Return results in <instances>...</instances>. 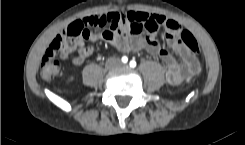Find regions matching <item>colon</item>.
<instances>
[{
    "mask_svg": "<svg viewBox=\"0 0 245 145\" xmlns=\"http://www.w3.org/2000/svg\"><path fill=\"white\" fill-rule=\"evenodd\" d=\"M95 17L100 18L102 15L88 17L83 21H81L82 19L72 21L65 27L62 34L51 42L41 62V76L43 79L50 80L59 75L61 71V60L70 56L74 51H78L80 42L85 40L90 30L98 25ZM164 22L167 29L179 32L182 43L190 51H198L197 41L187 30L181 29L176 22L162 16L151 17L146 26H142L137 21H131L126 24V28L130 33L140 34L146 30L156 31L164 25Z\"/></svg>",
    "mask_w": 245,
    "mask_h": 145,
    "instance_id": "obj_1",
    "label": "colon"
}]
</instances>
